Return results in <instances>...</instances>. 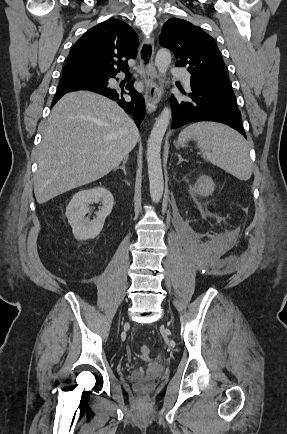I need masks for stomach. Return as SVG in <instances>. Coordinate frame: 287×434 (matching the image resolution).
<instances>
[{"label": "stomach", "instance_id": "0dacf381", "mask_svg": "<svg viewBox=\"0 0 287 434\" xmlns=\"http://www.w3.org/2000/svg\"><path fill=\"white\" fill-rule=\"evenodd\" d=\"M187 141H188V138H178V140L177 141H175V146L176 147H183V146H185V144L187 143Z\"/></svg>", "mask_w": 287, "mask_h": 434}]
</instances>
